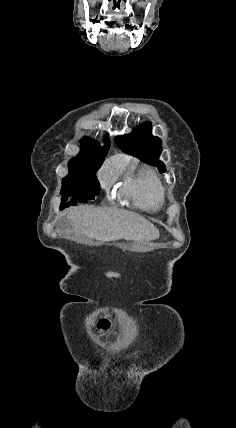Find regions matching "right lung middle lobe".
Segmentation results:
<instances>
[{
    "label": "right lung middle lobe",
    "instance_id": "1",
    "mask_svg": "<svg viewBox=\"0 0 236 428\" xmlns=\"http://www.w3.org/2000/svg\"><path fill=\"white\" fill-rule=\"evenodd\" d=\"M97 170L69 168V174L63 178L60 192L63 197L60 205L61 210L77 203H87L89 200L95 199L100 193V185L95 175Z\"/></svg>",
    "mask_w": 236,
    "mask_h": 428
}]
</instances>
